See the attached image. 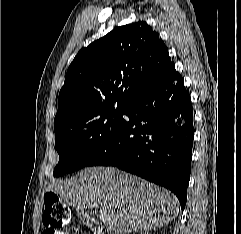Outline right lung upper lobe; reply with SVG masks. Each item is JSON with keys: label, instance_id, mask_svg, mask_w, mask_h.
Segmentation results:
<instances>
[{"label": "right lung upper lobe", "instance_id": "cb5924a9", "mask_svg": "<svg viewBox=\"0 0 241 234\" xmlns=\"http://www.w3.org/2000/svg\"><path fill=\"white\" fill-rule=\"evenodd\" d=\"M171 64L166 45L146 22L115 28L81 49L70 64L54 130L77 122L94 108L128 104Z\"/></svg>", "mask_w": 241, "mask_h": 234}]
</instances>
